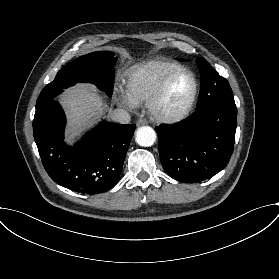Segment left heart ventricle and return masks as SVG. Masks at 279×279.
I'll return each mask as SVG.
<instances>
[{"instance_id":"left-heart-ventricle-1","label":"left heart ventricle","mask_w":279,"mask_h":279,"mask_svg":"<svg viewBox=\"0 0 279 279\" xmlns=\"http://www.w3.org/2000/svg\"><path fill=\"white\" fill-rule=\"evenodd\" d=\"M193 90V80L184 73L178 76L171 84L162 108L169 113L178 111L188 100Z\"/></svg>"}]
</instances>
